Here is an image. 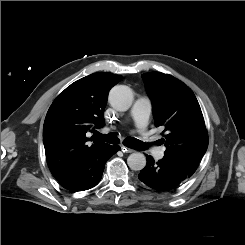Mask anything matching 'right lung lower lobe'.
<instances>
[{
  "mask_svg": "<svg viewBox=\"0 0 245 245\" xmlns=\"http://www.w3.org/2000/svg\"><path fill=\"white\" fill-rule=\"evenodd\" d=\"M119 149V146L108 145L106 148L72 165L64 174L56 178V180L65 189L73 192L93 188L101 180L105 163Z\"/></svg>",
  "mask_w": 245,
  "mask_h": 245,
  "instance_id": "obj_1",
  "label": "right lung lower lobe"
}]
</instances>
